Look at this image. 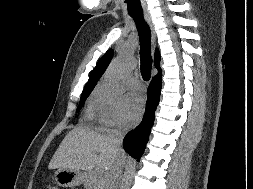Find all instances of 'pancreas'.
<instances>
[{
	"label": "pancreas",
	"mask_w": 253,
	"mask_h": 189,
	"mask_svg": "<svg viewBox=\"0 0 253 189\" xmlns=\"http://www.w3.org/2000/svg\"><path fill=\"white\" fill-rule=\"evenodd\" d=\"M84 185L87 189H104L105 177L102 172L94 169L84 173Z\"/></svg>",
	"instance_id": "obj_1"
}]
</instances>
